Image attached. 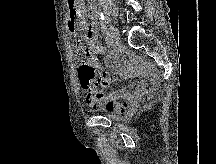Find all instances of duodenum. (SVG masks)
I'll list each match as a JSON object with an SVG mask.
<instances>
[{
  "instance_id": "obj_1",
  "label": "duodenum",
  "mask_w": 216,
  "mask_h": 164,
  "mask_svg": "<svg viewBox=\"0 0 216 164\" xmlns=\"http://www.w3.org/2000/svg\"><path fill=\"white\" fill-rule=\"evenodd\" d=\"M69 5H70V9H76V0H69ZM91 14L94 18H96L98 16L99 13V7L98 4L93 2L91 4Z\"/></svg>"
}]
</instances>
